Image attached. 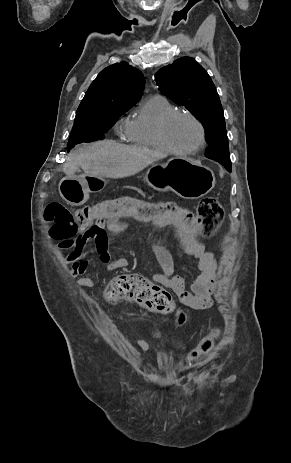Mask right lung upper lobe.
Here are the masks:
<instances>
[{"label": "right lung upper lobe", "mask_w": 291, "mask_h": 463, "mask_svg": "<svg viewBox=\"0 0 291 463\" xmlns=\"http://www.w3.org/2000/svg\"><path fill=\"white\" fill-rule=\"evenodd\" d=\"M144 86L145 78L135 67L126 62L110 65L92 82L77 112L108 103L134 105L142 96Z\"/></svg>", "instance_id": "obj_1"}]
</instances>
